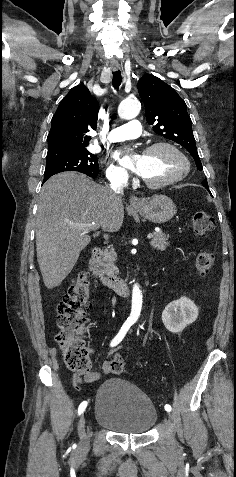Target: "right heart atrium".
I'll return each instance as SVG.
<instances>
[{"label":"right heart atrium","mask_w":236,"mask_h":477,"mask_svg":"<svg viewBox=\"0 0 236 477\" xmlns=\"http://www.w3.org/2000/svg\"><path fill=\"white\" fill-rule=\"evenodd\" d=\"M106 177L114 184L124 183L128 180L127 172L122 167L113 163L107 165Z\"/></svg>","instance_id":"d8ad5b80"}]
</instances>
